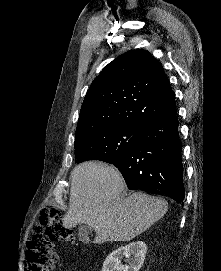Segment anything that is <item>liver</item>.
<instances>
[{"mask_svg":"<svg viewBox=\"0 0 221 271\" xmlns=\"http://www.w3.org/2000/svg\"><path fill=\"white\" fill-rule=\"evenodd\" d=\"M125 187L124 177L114 165L103 161L75 165L64 227L91 225L96 231L92 243L130 241L166 213L168 203L163 197L139 191L121 197Z\"/></svg>","mask_w":221,"mask_h":271,"instance_id":"obj_1","label":"liver"}]
</instances>
